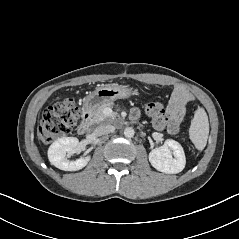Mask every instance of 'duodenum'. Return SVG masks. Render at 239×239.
Returning a JSON list of instances; mask_svg holds the SVG:
<instances>
[{"instance_id": "410a0bca", "label": "duodenum", "mask_w": 239, "mask_h": 239, "mask_svg": "<svg viewBox=\"0 0 239 239\" xmlns=\"http://www.w3.org/2000/svg\"><path fill=\"white\" fill-rule=\"evenodd\" d=\"M91 126V112L86 111L83 115L82 121L77 128L79 135L85 134Z\"/></svg>"}]
</instances>
